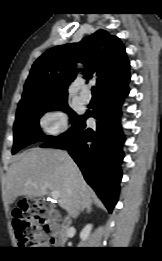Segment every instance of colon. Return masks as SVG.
<instances>
[{"label":"colon","instance_id":"colon-1","mask_svg":"<svg viewBox=\"0 0 162 261\" xmlns=\"http://www.w3.org/2000/svg\"><path fill=\"white\" fill-rule=\"evenodd\" d=\"M59 213L46 199H28L13 212L15 235L22 248L44 247L49 239L41 226L47 221H57Z\"/></svg>","mask_w":162,"mask_h":261}]
</instances>
